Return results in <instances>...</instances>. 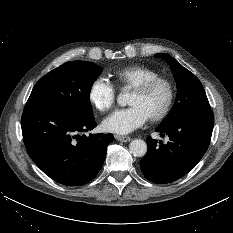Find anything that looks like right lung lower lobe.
<instances>
[{"label":"right lung lower lobe","mask_w":233,"mask_h":233,"mask_svg":"<svg viewBox=\"0 0 233 233\" xmlns=\"http://www.w3.org/2000/svg\"><path fill=\"white\" fill-rule=\"evenodd\" d=\"M26 150L34 163L54 181L80 186L91 181L104 163L112 134L82 132L96 127L67 109L26 104L22 119Z\"/></svg>","instance_id":"obj_1"}]
</instances>
